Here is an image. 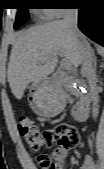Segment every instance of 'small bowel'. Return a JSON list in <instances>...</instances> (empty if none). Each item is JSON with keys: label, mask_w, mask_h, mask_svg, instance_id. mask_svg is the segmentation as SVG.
I'll use <instances>...</instances> for the list:
<instances>
[{"label": "small bowel", "mask_w": 104, "mask_h": 169, "mask_svg": "<svg viewBox=\"0 0 104 169\" xmlns=\"http://www.w3.org/2000/svg\"><path fill=\"white\" fill-rule=\"evenodd\" d=\"M83 145L81 136L79 135V142L76 147H81ZM69 150L68 147H65L59 144L54 150V160L55 164L53 169H62L66 159L68 158ZM80 169H94V163L90 156H86L80 167Z\"/></svg>", "instance_id": "small-bowel-1"}]
</instances>
